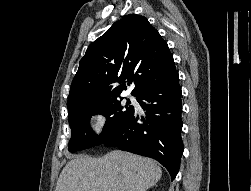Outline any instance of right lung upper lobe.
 I'll use <instances>...</instances> for the list:
<instances>
[{"label":"right lung upper lobe","mask_w":251,"mask_h":191,"mask_svg":"<svg viewBox=\"0 0 251 191\" xmlns=\"http://www.w3.org/2000/svg\"><path fill=\"white\" fill-rule=\"evenodd\" d=\"M176 73L159 32L145 17L129 14L89 45L73 78L67 108L115 100L126 81L135 85L131 95L137 96Z\"/></svg>","instance_id":"obj_1"}]
</instances>
